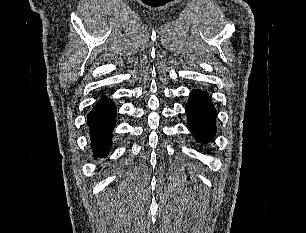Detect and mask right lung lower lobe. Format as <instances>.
<instances>
[{
    "mask_svg": "<svg viewBox=\"0 0 306 233\" xmlns=\"http://www.w3.org/2000/svg\"><path fill=\"white\" fill-rule=\"evenodd\" d=\"M88 126L91 134L92 150L96 156H107L111 148V134L116 122L115 104L103 98L88 114Z\"/></svg>",
    "mask_w": 306,
    "mask_h": 233,
    "instance_id": "right-lung-lower-lobe-1",
    "label": "right lung lower lobe"
}]
</instances>
